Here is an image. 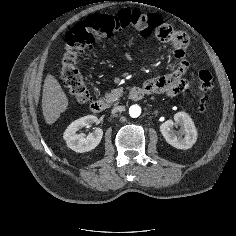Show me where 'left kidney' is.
<instances>
[{"label":"left kidney","mask_w":236,"mask_h":236,"mask_svg":"<svg viewBox=\"0 0 236 236\" xmlns=\"http://www.w3.org/2000/svg\"><path fill=\"white\" fill-rule=\"evenodd\" d=\"M174 126H180L176 132ZM160 132L166 142L177 149H189L197 140V130L190 116L185 112L174 115V121L167 120L160 125Z\"/></svg>","instance_id":"5707ae66"}]
</instances>
